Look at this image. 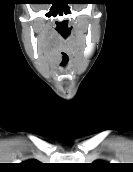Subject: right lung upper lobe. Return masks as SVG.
Wrapping results in <instances>:
<instances>
[{"mask_svg": "<svg viewBox=\"0 0 133 172\" xmlns=\"http://www.w3.org/2000/svg\"><path fill=\"white\" fill-rule=\"evenodd\" d=\"M41 166V163L37 160H28L20 165V168L27 171H34Z\"/></svg>", "mask_w": 133, "mask_h": 172, "instance_id": "obj_1", "label": "right lung upper lobe"}]
</instances>
